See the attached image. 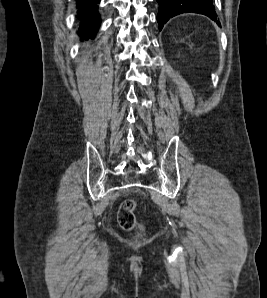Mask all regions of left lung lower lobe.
Masks as SVG:
<instances>
[{
	"mask_svg": "<svg viewBox=\"0 0 267 298\" xmlns=\"http://www.w3.org/2000/svg\"><path fill=\"white\" fill-rule=\"evenodd\" d=\"M159 3V13L157 21L159 30L171 18L181 13L194 12L208 16L212 20L217 21L216 13L212 0H157Z\"/></svg>",
	"mask_w": 267,
	"mask_h": 298,
	"instance_id": "1",
	"label": "left lung lower lobe"
}]
</instances>
